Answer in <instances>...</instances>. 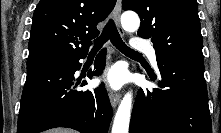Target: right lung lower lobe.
Wrapping results in <instances>:
<instances>
[{"instance_id":"1","label":"right lung lower lobe","mask_w":221,"mask_h":133,"mask_svg":"<svg viewBox=\"0 0 221 133\" xmlns=\"http://www.w3.org/2000/svg\"><path fill=\"white\" fill-rule=\"evenodd\" d=\"M86 55L27 66L17 133H38L55 127L81 133H107L112 107L104 84L93 91L74 90L79 84H75L74 73L81 67L79 60ZM104 65L105 50H102L95 60V71H89L88 77L101 74Z\"/></svg>"}]
</instances>
